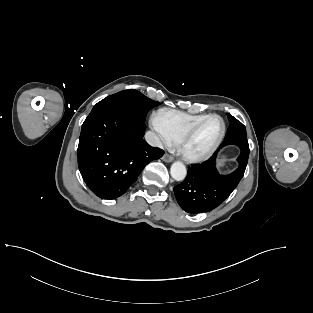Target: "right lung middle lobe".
Returning a JSON list of instances; mask_svg holds the SVG:
<instances>
[{
    "mask_svg": "<svg viewBox=\"0 0 313 313\" xmlns=\"http://www.w3.org/2000/svg\"><path fill=\"white\" fill-rule=\"evenodd\" d=\"M159 105L136 90H124L108 96L98 102L90 112L89 116L104 110L121 111L139 123H144L147 112Z\"/></svg>",
    "mask_w": 313,
    "mask_h": 313,
    "instance_id": "1",
    "label": "right lung middle lobe"
}]
</instances>
